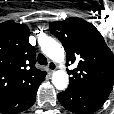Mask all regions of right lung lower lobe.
<instances>
[{"label": "right lung lower lobe", "instance_id": "98d812e1", "mask_svg": "<svg viewBox=\"0 0 114 114\" xmlns=\"http://www.w3.org/2000/svg\"><path fill=\"white\" fill-rule=\"evenodd\" d=\"M42 82V81H41ZM16 92L7 98L0 101V113L2 114H17L31 107L36 100V91L39 84Z\"/></svg>", "mask_w": 114, "mask_h": 114}]
</instances>
